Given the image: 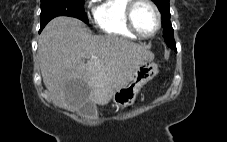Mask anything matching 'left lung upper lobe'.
I'll list each match as a JSON object with an SVG mask.
<instances>
[{
    "mask_svg": "<svg viewBox=\"0 0 227 142\" xmlns=\"http://www.w3.org/2000/svg\"><path fill=\"white\" fill-rule=\"evenodd\" d=\"M161 12L162 24H163V37L166 44L176 50V43L174 40L173 28L170 22V9L169 0H153Z\"/></svg>",
    "mask_w": 227,
    "mask_h": 142,
    "instance_id": "left-lung-upper-lobe-1",
    "label": "left lung upper lobe"
}]
</instances>
